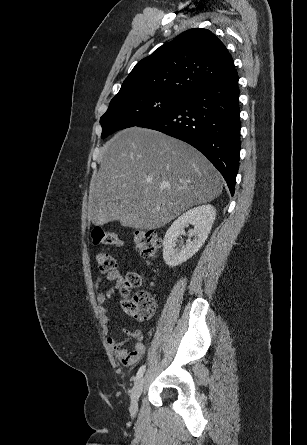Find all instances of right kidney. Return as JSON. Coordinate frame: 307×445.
Returning a JSON list of instances; mask_svg holds the SVG:
<instances>
[{
    "mask_svg": "<svg viewBox=\"0 0 307 445\" xmlns=\"http://www.w3.org/2000/svg\"><path fill=\"white\" fill-rule=\"evenodd\" d=\"M215 216L216 208L212 204H202V206L190 208V210L178 216L170 229H168L163 241V259L166 265L177 267V265H182L190 257H193L204 245L212 229ZM188 225H193V235L195 237L193 241L188 239L186 245H182L181 249L175 251L174 247H176L177 237L184 235V229ZM189 237H192V235H189Z\"/></svg>",
    "mask_w": 307,
    "mask_h": 445,
    "instance_id": "1",
    "label": "right kidney"
}]
</instances>
